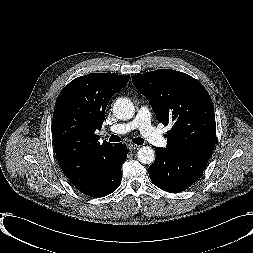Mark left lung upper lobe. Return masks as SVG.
Here are the masks:
<instances>
[{"instance_id":"1","label":"left lung upper lobe","mask_w":253,"mask_h":253,"mask_svg":"<svg viewBox=\"0 0 253 253\" xmlns=\"http://www.w3.org/2000/svg\"><path fill=\"white\" fill-rule=\"evenodd\" d=\"M135 87L149 100L174 153L210 158L216 139L214 107L204 86L193 77L171 69L133 75Z\"/></svg>"}]
</instances>
